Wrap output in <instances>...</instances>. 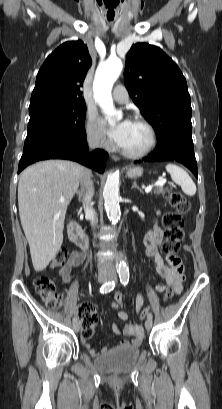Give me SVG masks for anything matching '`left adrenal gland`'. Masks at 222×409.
<instances>
[{
    "mask_svg": "<svg viewBox=\"0 0 222 409\" xmlns=\"http://www.w3.org/2000/svg\"><path fill=\"white\" fill-rule=\"evenodd\" d=\"M131 188H136L138 189L141 193H143L142 189L137 185L136 181L133 182V185Z\"/></svg>",
    "mask_w": 222,
    "mask_h": 409,
    "instance_id": "obj_1",
    "label": "left adrenal gland"
}]
</instances>
